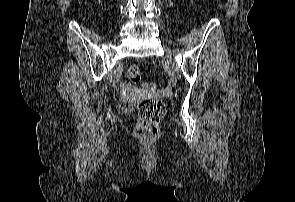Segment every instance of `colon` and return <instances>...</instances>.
<instances>
[{"instance_id":"colon-1","label":"colon","mask_w":295,"mask_h":202,"mask_svg":"<svg viewBox=\"0 0 295 202\" xmlns=\"http://www.w3.org/2000/svg\"><path fill=\"white\" fill-rule=\"evenodd\" d=\"M127 78L132 83H138L141 79V70L139 66L133 64L127 68ZM143 89H149L154 92L156 87L154 84L146 83ZM139 119L135 127V135L144 140H151L159 133V123L165 114V103L159 98H148L138 107Z\"/></svg>"}]
</instances>
